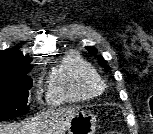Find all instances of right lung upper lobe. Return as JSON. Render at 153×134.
I'll return each instance as SVG.
<instances>
[{
	"instance_id": "cb5924a9",
	"label": "right lung upper lobe",
	"mask_w": 153,
	"mask_h": 134,
	"mask_svg": "<svg viewBox=\"0 0 153 134\" xmlns=\"http://www.w3.org/2000/svg\"><path fill=\"white\" fill-rule=\"evenodd\" d=\"M31 61L18 48L4 50L0 52V76L27 75L32 69Z\"/></svg>"
}]
</instances>
